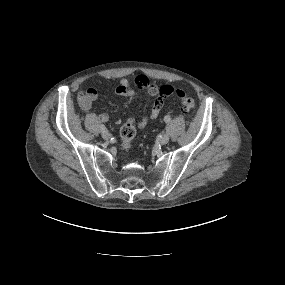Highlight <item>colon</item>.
<instances>
[{
    "instance_id": "colon-1",
    "label": "colon",
    "mask_w": 285,
    "mask_h": 285,
    "mask_svg": "<svg viewBox=\"0 0 285 285\" xmlns=\"http://www.w3.org/2000/svg\"><path fill=\"white\" fill-rule=\"evenodd\" d=\"M176 97L180 100L183 110L185 112H190L195 107V101L192 97L186 95L181 90L175 91ZM120 136L122 144L125 148H129L136 136V126L135 121L132 118H128L122 125L120 130Z\"/></svg>"
}]
</instances>
